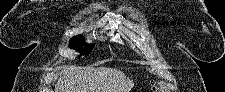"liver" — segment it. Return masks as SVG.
Returning <instances> with one entry per match:
<instances>
[{"mask_svg":"<svg viewBox=\"0 0 225 92\" xmlns=\"http://www.w3.org/2000/svg\"><path fill=\"white\" fill-rule=\"evenodd\" d=\"M134 82L118 69L64 66L56 92H130Z\"/></svg>","mask_w":225,"mask_h":92,"instance_id":"1","label":"liver"}]
</instances>
